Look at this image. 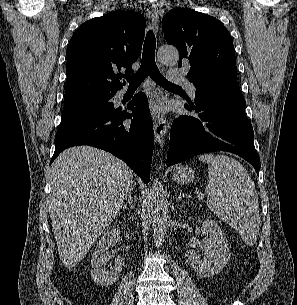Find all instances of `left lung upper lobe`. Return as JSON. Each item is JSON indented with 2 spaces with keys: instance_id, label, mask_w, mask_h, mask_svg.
Returning <instances> with one entry per match:
<instances>
[{
  "instance_id": "5c2ea615",
  "label": "left lung upper lobe",
  "mask_w": 297,
  "mask_h": 305,
  "mask_svg": "<svg viewBox=\"0 0 297 305\" xmlns=\"http://www.w3.org/2000/svg\"><path fill=\"white\" fill-rule=\"evenodd\" d=\"M164 37L178 48V66L189 64V81L202 93L237 82L230 33L215 17L189 8H174L162 19Z\"/></svg>"
}]
</instances>
